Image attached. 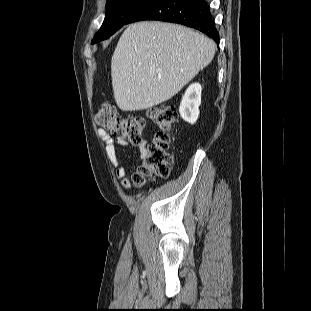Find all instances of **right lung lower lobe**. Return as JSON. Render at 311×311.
Returning a JSON list of instances; mask_svg holds the SVG:
<instances>
[{
	"label": "right lung lower lobe",
	"mask_w": 311,
	"mask_h": 311,
	"mask_svg": "<svg viewBox=\"0 0 311 311\" xmlns=\"http://www.w3.org/2000/svg\"><path fill=\"white\" fill-rule=\"evenodd\" d=\"M142 20L182 24L205 33L219 45V33L205 0H154L134 14L127 24Z\"/></svg>",
	"instance_id": "1"
}]
</instances>
